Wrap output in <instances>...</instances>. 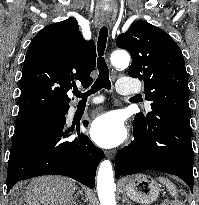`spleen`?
Wrapping results in <instances>:
<instances>
[{
    "mask_svg": "<svg viewBox=\"0 0 199 205\" xmlns=\"http://www.w3.org/2000/svg\"><path fill=\"white\" fill-rule=\"evenodd\" d=\"M158 179L161 183H163L167 187L171 196H173V197L177 196L176 186L170 180H168L167 178H164V177H159Z\"/></svg>",
    "mask_w": 199,
    "mask_h": 205,
    "instance_id": "3e777b00",
    "label": "spleen"
}]
</instances>
